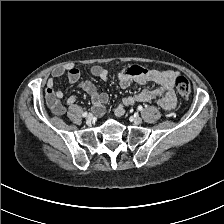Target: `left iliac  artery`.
<instances>
[{
	"instance_id": "obj_1",
	"label": "left iliac artery",
	"mask_w": 224,
	"mask_h": 224,
	"mask_svg": "<svg viewBox=\"0 0 224 224\" xmlns=\"http://www.w3.org/2000/svg\"><path fill=\"white\" fill-rule=\"evenodd\" d=\"M138 110H139V111H142V110H143V107H142L141 105H139V106H138Z\"/></svg>"
}]
</instances>
